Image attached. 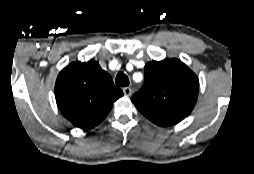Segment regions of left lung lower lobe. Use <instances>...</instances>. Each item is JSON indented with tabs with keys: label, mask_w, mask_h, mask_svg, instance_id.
<instances>
[{
	"label": "left lung lower lobe",
	"mask_w": 254,
	"mask_h": 174,
	"mask_svg": "<svg viewBox=\"0 0 254 174\" xmlns=\"http://www.w3.org/2000/svg\"><path fill=\"white\" fill-rule=\"evenodd\" d=\"M157 125L162 126V127H165V126H169V125H172V124L157 123Z\"/></svg>",
	"instance_id": "0a47b994"
}]
</instances>
